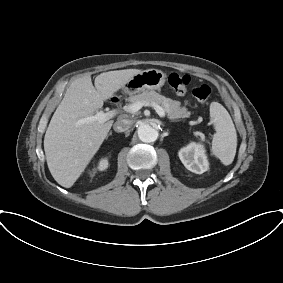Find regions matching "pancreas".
<instances>
[{"mask_svg": "<svg viewBox=\"0 0 283 283\" xmlns=\"http://www.w3.org/2000/svg\"><path fill=\"white\" fill-rule=\"evenodd\" d=\"M128 100L132 104L135 102L158 104L164 109L170 119L188 118L191 115V112L186 107H181L179 101L166 98L155 91L146 90L140 94L130 96Z\"/></svg>", "mask_w": 283, "mask_h": 283, "instance_id": "cf45deb5", "label": "pancreas"}]
</instances>
